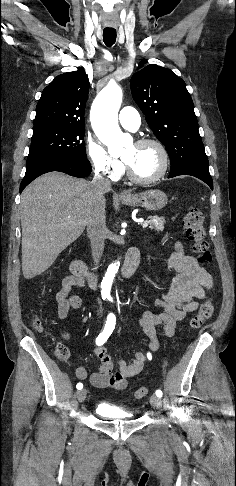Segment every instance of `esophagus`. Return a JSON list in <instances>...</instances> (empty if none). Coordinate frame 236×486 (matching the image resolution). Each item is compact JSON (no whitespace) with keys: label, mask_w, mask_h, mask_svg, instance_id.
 Segmentation results:
<instances>
[{"label":"esophagus","mask_w":236,"mask_h":486,"mask_svg":"<svg viewBox=\"0 0 236 486\" xmlns=\"http://www.w3.org/2000/svg\"><path fill=\"white\" fill-rule=\"evenodd\" d=\"M119 196L120 197H127V196H129V194L125 191H122V192L119 193Z\"/></svg>","instance_id":"1"}]
</instances>
